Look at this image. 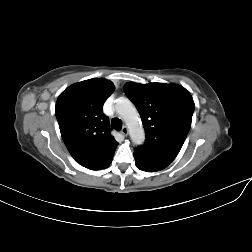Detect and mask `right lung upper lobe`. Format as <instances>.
<instances>
[{
    "instance_id": "obj_1",
    "label": "right lung upper lobe",
    "mask_w": 252,
    "mask_h": 252,
    "mask_svg": "<svg viewBox=\"0 0 252 252\" xmlns=\"http://www.w3.org/2000/svg\"><path fill=\"white\" fill-rule=\"evenodd\" d=\"M114 90L113 82L94 78L69 86L57 99L55 115L62 139L71 156L90 170L108 167L118 145L102 111Z\"/></svg>"
}]
</instances>
